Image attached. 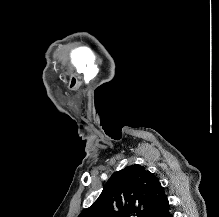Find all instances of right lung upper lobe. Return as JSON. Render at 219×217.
I'll use <instances>...</instances> for the list:
<instances>
[{"instance_id":"right-lung-upper-lobe-1","label":"right lung upper lobe","mask_w":219,"mask_h":217,"mask_svg":"<svg viewBox=\"0 0 219 217\" xmlns=\"http://www.w3.org/2000/svg\"><path fill=\"white\" fill-rule=\"evenodd\" d=\"M169 209L153 173L131 165L113 173L99 198L78 217H162Z\"/></svg>"}]
</instances>
